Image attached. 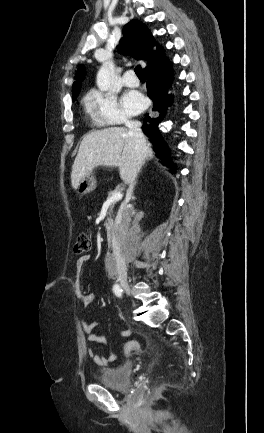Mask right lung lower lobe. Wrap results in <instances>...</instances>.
<instances>
[{"label": "right lung lower lobe", "instance_id": "right-lung-lower-lobe-1", "mask_svg": "<svg viewBox=\"0 0 264 433\" xmlns=\"http://www.w3.org/2000/svg\"><path fill=\"white\" fill-rule=\"evenodd\" d=\"M144 73L147 78V94L154 102L153 110L158 112V116L150 117L147 113L142 130L149 136L150 141L154 144V150L163 159V163L175 170V164L169 156V149L166 147L158 128L168 106L172 103V97L167 94L173 79L172 63L167 59L155 67H150Z\"/></svg>", "mask_w": 264, "mask_h": 433}]
</instances>
